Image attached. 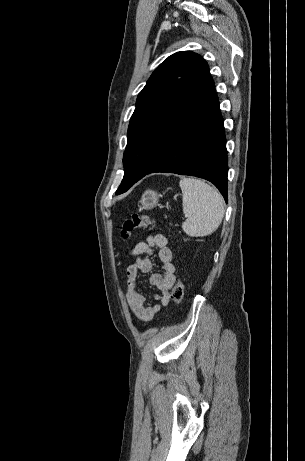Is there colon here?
<instances>
[{"instance_id":"5ec220e1","label":"colon","mask_w":305,"mask_h":461,"mask_svg":"<svg viewBox=\"0 0 305 461\" xmlns=\"http://www.w3.org/2000/svg\"><path fill=\"white\" fill-rule=\"evenodd\" d=\"M155 224V220L147 216L132 214L124 221L121 228V236L123 239H129L135 230L145 228L152 229L155 227ZM184 293V283L181 279H178L172 288L170 298L173 302L180 303L184 298Z\"/></svg>"}]
</instances>
